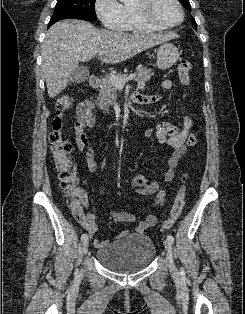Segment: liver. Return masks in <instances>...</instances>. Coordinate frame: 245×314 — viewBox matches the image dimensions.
<instances>
[{
	"label": "liver",
	"instance_id": "obj_1",
	"mask_svg": "<svg viewBox=\"0 0 245 314\" xmlns=\"http://www.w3.org/2000/svg\"><path fill=\"white\" fill-rule=\"evenodd\" d=\"M177 37L175 33L127 34L96 29L91 23L81 20L59 21L46 32L41 47L48 95L54 98L62 92L71 83L70 74L78 64L91 60L102 50H107V53L101 61L115 64Z\"/></svg>",
	"mask_w": 245,
	"mask_h": 314
}]
</instances>
